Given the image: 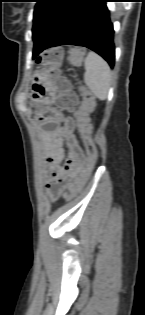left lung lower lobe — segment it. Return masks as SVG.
<instances>
[{
    "instance_id": "left-lung-lower-lobe-1",
    "label": "left lung lower lobe",
    "mask_w": 145,
    "mask_h": 315,
    "mask_svg": "<svg viewBox=\"0 0 145 315\" xmlns=\"http://www.w3.org/2000/svg\"><path fill=\"white\" fill-rule=\"evenodd\" d=\"M108 0H72L63 10L45 37L34 42L33 59L44 49L63 44L87 47L114 66L113 24Z\"/></svg>"
}]
</instances>
